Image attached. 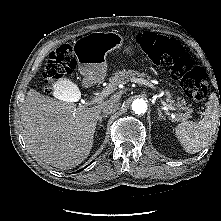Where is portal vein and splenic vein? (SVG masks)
<instances>
[{
	"label": "portal vein and splenic vein",
	"mask_w": 221,
	"mask_h": 221,
	"mask_svg": "<svg viewBox=\"0 0 221 221\" xmlns=\"http://www.w3.org/2000/svg\"><path fill=\"white\" fill-rule=\"evenodd\" d=\"M132 82H136V83H141V84H145L143 81L139 80V79H135ZM149 85V84H146ZM113 90H115V87L112 85L107 86L106 88H104L100 93H98L94 98H92V100L89 102V104H96L101 102L107 95H109ZM161 104L166 106L169 110L171 111H177L178 109L174 106L171 105H167L164 101H161Z\"/></svg>",
	"instance_id": "18ae733b"
}]
</instances>
